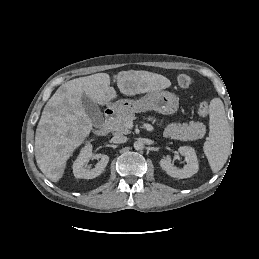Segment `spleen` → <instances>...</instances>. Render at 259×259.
Wrapping results in <instances>:
<instances>
[{"instance_id": "obj_1", "label": "spleen", "mask_w": 259, "mask_h": 259, "mask_svg": "<svg viewBox=\"0 0 259 259\" xmlns=\"http://www.w3.org/2000/svg\"><path fill=\"white\" fill-rule=\"evenodd\" d=\"M209 116V137L203 149L212 171L217 173L226 163L231 149V130L221 99L211 100Z\"/></svg>"}]
</instances>
